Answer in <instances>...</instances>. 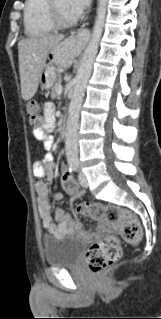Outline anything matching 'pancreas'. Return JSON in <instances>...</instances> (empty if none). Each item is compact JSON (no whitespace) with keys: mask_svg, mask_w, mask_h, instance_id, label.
<instances>
[{"mask_svg":"<svg viewBox=\"0 0 161 319\" xmlns=\"http://www.w3.org/2000/svg\"><path fill=\"white\" fill-rule=\"evenodd\" d=\"M61 85V78L59 76L56 77V81L54 83V86L52 88L51 96L52 98H55L57 95L58 87Z\"/></svg>","mask_w":161,"mask_h":319,"instance_id":"pancreas-1","label":"pancreas"}]
</instances>
